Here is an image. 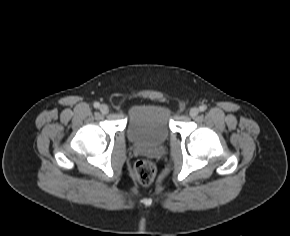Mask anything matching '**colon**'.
<instances>
[{
  "mask_svg": "<svg viewBox=\"0 0 290 236\" xmlns=\"http://www.w3.org/2000/svg\"><path fill=\"white\" fill-rule=\"evenodd\" d=\"M134 175L141 184H150L156 175V166L150 160H139L134 166Z\"/></svg>",
  "mask_w": 290,
  "mask_h": 236,
  "instance_id": "colon-1",
  "label": "colon"
}]
</instances>
